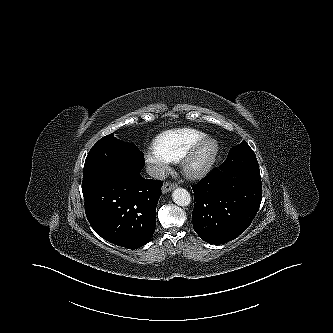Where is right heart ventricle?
<instances>
[{"instance_id": "obj_1", "label": "right heart ventricle", "mask_w": 333, "mask_h": 333, "mask_svg": "<svg viewBox=\"0 0 333 333\" xmlns=\"http://www.w3.org/2000/svg\"><path fill=\"white\" fill-rule=\"evenodd\" d=\"M204 137L205 133L191 128L169 130L155 139L153 149L170 162H178Z\"/></svg>"}]
</instances>
